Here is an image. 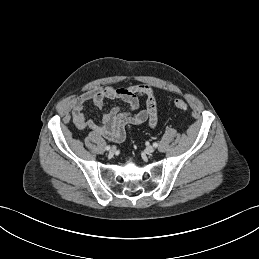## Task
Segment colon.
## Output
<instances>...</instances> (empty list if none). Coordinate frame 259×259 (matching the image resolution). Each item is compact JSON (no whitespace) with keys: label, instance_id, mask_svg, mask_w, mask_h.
<instances>
[{"label":"colon","instance_id":"1","mask_svg":"<svg viewBox=\"0 0 259 259\" xmlns=\"http://www.w3.org/2000/svg\"><path fill=\"white\" fill-rule=\"evenodd\" d=\"M174 105L176 108H178L179 110L185 111L188 109V105L184 100L181 99H176L174 101Z\"/></svg>","mask_w":259,"mask_h":259}]
</instances>
